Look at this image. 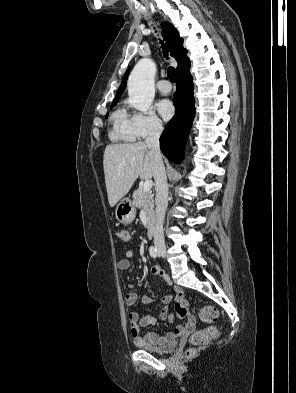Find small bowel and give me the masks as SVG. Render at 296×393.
<instances>
[{
  "label": "small bowel",
  "mask_w": 296,
  "mask_h": 393,
  "mask_svg": "<svg viewBox=\"0 0 296 393\" xmlns=\"http://www.w3.org/2000/svg\"><path fill=\"white\" fill-rule=\"evenodd\" d=\"M133 256L134 254L132 251L125 252L124 257L117 262V268L120 271L129 270ZM152 274L163 279L171 288V294L164 296L162 299L163 308L160 312V319L168 320L172 317L170 312V303L173 299H184V293L181 288L170 284L169 277L161 268L154 267L152 269ZM128 287L130 291L125 296V304L129 307H132L137 302V293L134 284L131 283L128 285ZM153 302L154 300L148 296H143L141 298L142 304H152ZM128 319L130 322L131 336L134 340V343L140 347L143 345L156 346L166 344L173 341L177 336L191 333L196 327V319L194 316L190 315L188 316L186 323L177 325L174 328V331L171 333H167L164 336H159L156 333L150 332L142 336L140 333V328L155 325L156 318L151 315L140 317L137 312L131 311L128 313Z\"/></svg>",
  "instance_id": "obj_1"
}]
</instances>
